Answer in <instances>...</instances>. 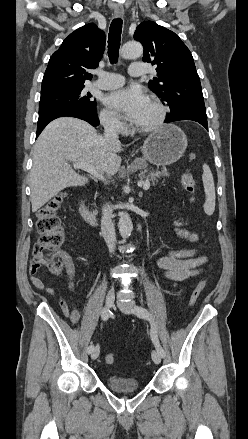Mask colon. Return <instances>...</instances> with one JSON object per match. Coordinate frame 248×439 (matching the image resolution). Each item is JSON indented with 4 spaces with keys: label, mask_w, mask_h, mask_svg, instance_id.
Segmentation results:
<instances>
[{
    "label": "colon",
    "mask_w": 248,
    "mask_h": 439,
    "mask_svg": "<svg viewBox=\"0 0 248 439\" xmlns=\"http://www.w3.org/2000/svg\"><path fill=\"white\" fill-rule=\"evenodd\" d=\"M181 183L188 194L195 191V179L192 174L182 175ZM64 195L59 194L45 203L37 212V231L39 239L34 247L33 260L39 267H45L52 274H59L63 269V259L59 248L65 241V231L57 215L63 202ZM205 286V279H201L195 286L190 304L193 305L199 298ZM115 357L111 353L105 355V361L112 364Z\"/></svg>",
    "instance_id": "1"
}]
</instances>
